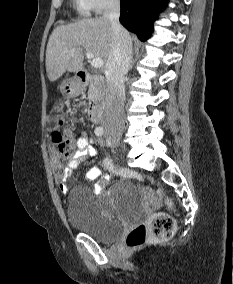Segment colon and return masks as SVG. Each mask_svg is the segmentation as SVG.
<instances>
[{"label":"colon","instance_id":"colon-1","mask_svg":"<svg viewBox=\"0 0 233 284\" xmlns=\"http://www.w3.org/2000/svg\"><path fill=\"white\" fill-rule=\"evenodd\" d=\"M62 125L63 122L59 121ZM54 143L64 155H72L75 151L73 133L70 129L63 132L55 130L52 133ZM105 166L115 174L128 178L142 180L143 177L128 168L122 167L111 160L105 162ZM174 219L166 213H156L148 221L133 228L126 238V246L129 250L142 246L148 240H166L174 232Z\"/></svg>","mask_w":233,"mask_h":284}]
</instances>
